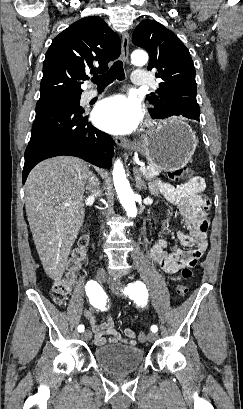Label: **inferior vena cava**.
<instances>
[{
	"label": "inferior vena cava",
	"mask_w": 243,
	"mask_h": 409,
	"mask_svg": "<svg viewBox=\"0 0 243 409\" xmlns=\"http://www.w3.org/2000/svg\"><path fill=\"white\" fill-rule=\"evenodd\" d=\"M92 193H93V195H95V196H100V195H101V191H100V190L94 191V192H92Z\"/></svg>",
	"instance_id": "1"
}]
</instances>
